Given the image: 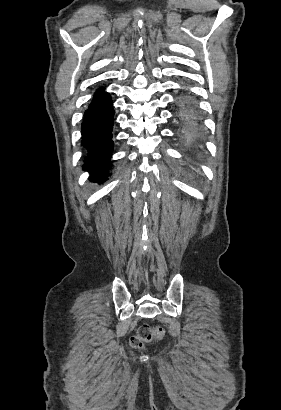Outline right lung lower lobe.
<instances>
[{
    "label": "right lung lower lobe",
    "instance_id": "1",
    "mask_svg": "<svg viewBox=\"0 0 281 410\" xmlns=\"http://www.w3.org/2000/svg\"><path fill=\"white\" fill-rule=\"evenodd\" d=\"M114 109L111 96L98 89L84 113L82 145L87 150L83 169L90 172V180L106 181L110 175V157L113 149L112 127Z\"/></svg>",
    "mask_w": 281,
    "mask_h": 410
}]
</instances>
